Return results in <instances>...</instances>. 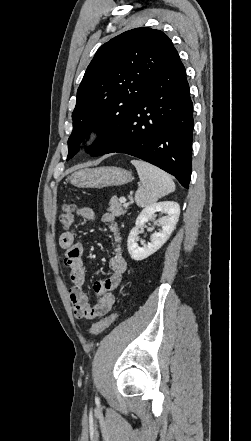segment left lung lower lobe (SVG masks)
<instances>
[{"instance_id":"1","label":"left lung lower lobe","mask_w":251,"mask_h":441,"mask_svg":"<svg viewBox=\"0 0 251 441\" xmlns=\"http://www.w3.org/2000/svg\"><path fill=\"white\" fill-rule=\"evenodd\" d=\"M193 127L186 70L175 51L125 121L98 130L90 155L117 152L138 157L174 175L188 189Z\"/></svg>"}]
</instances>
